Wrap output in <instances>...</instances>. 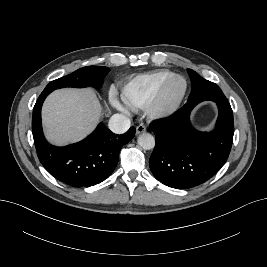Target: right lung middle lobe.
<instances>
[{
    "label": "right lung middle lobe",
    "instance_id": "dd1d6c3e",
    "mask_svg": "<svg viewBox=\"0 0 267 267\" xmlns=\"http://www.w3.org/2000/svg\"><path fill=\"white\" fill-rule=\"evenodd\" d=\"M110 69L104 66H88L50 82L44 90L53 91L63 87L82 88L90 85L100 87Z\"/></svg>",
    "mask_w": 267,
    "mask_h": 267
}]
</instances>
